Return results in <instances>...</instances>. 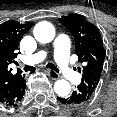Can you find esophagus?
<instances>
[{
	"label": "esophagus",
	"mask_w": 117,
	"mask_h": 117,
	"mask_svg": "<svg viewBox=\"0 0 117 117\" xmlns=\"http://www.w3.org/2000/svg\"><path fill=\"white\" fill-rule=\"evenodd\" d=\"M48 74L53 80L60 78L59 74L53 70H48Z\"/></svg>",
	"instance_id": "obj_1"
}]
</instances>
